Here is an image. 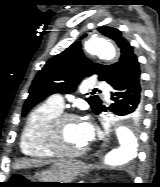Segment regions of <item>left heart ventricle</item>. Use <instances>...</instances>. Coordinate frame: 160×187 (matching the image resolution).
Segmentation results:
<instances>
[{"label":"left heart ventricle","mask_w":160,"mask_h":187,"mask_svg":"<svg viewBox=\"0 0 160 187\" xmlns=\"http://www.w3.org/2000/svg\"><path fill=\"white\" fill-rule=\"evenodd\" d=\"M61 143L65 150L77 151L87 144L78 120L65 121L61 128Z\"/></svg>","instance_id":"left-heart-ventricle-1"}]
</instances>
